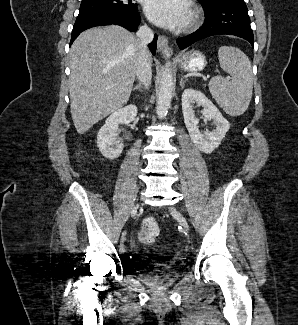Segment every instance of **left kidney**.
Listing matches in <instances>:
<instances>
[{"instance_id":"obj_1","label":"left kidney","mask_w":298,"mask_h":325,"mask_svg":"<svg viewBox=\"0 0 298 325\" xmlns=\"http://www.w3.org/2000/svg\"><path fill=\"white\" fill-rule=\"evenodd\" d=\"M182 112L184 116V122L186 128L193 140L195 146L202 150V152H212L214 148H217L221 144L222 138H224L227 130L230 128V124L227 118H224L219 108L213 104L212 100L201 92V90H195V88H185L181 96ZM196 106H203L202 116L207 120H213L215 126L213 130H206V132H200L197 124L198 118L195 116Z\"/></svg>"}]
</instances>
